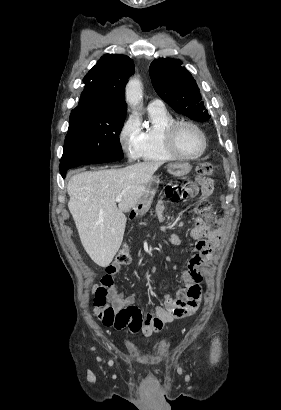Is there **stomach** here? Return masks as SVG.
<instances>
[{
  "label": "stomach",
  "instance_id": "stomach-1",
  "mask_svg": "<svg viewBox=\"0 0 281 410\" xmlns=\"http://www.w3.org/2000/svg\"><path fill=\"white\" fill-rule=\"evenodd\" d=\"M190 170L191 166L186 163H170L167 166V171L176 177L184 176L188 174ZM159 183L160 180L157 176L152 177L145 192L142 194L137 204L132 208V212L136 216L144 215L149 210Z\"/></svg>",
  "mask_w": 281,
  "mask_h": 410
}]
</instances>
